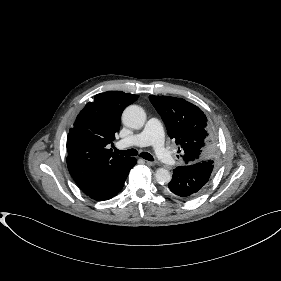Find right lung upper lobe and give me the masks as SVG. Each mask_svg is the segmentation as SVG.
<instances>
[{
    "mask_svg": "<svg viewBox=\"0 0 281 281\" xmlns=\"http://www.w3.org/2000/svg\"><path fill=\"white\" fill-rule=\"evenodd\" d=\"M137 99L120 91L100 93L77 116L67 137V166L85 194L103 187L129 159L106 146L119 131L123 110Z\"/></svg>",
    "mask_w": 281,
    "mask_h": 281,
    "instance_id": "1",
    "label": "right lung upper lobe"
}]
</instances>
